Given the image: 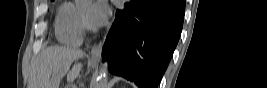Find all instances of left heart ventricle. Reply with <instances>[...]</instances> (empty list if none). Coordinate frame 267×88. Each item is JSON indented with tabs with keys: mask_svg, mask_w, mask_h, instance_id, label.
<instances>
[{
	"mask_svg": "<svg viewBox=\"0 0 267 88\" xmlns=\"http://www.w3.org/2000/svg\"><path fill=\"white\" fill-rule=\"evenodd\" d=\"M90 10L89 6H86L82 9L83 15L87 18L88 12Z\"/></svg>",
	"mask_w": 267,
	"mask_h": 88,
	"instance_id": "left-heart-ventricle-1",
	"label": "left heart ventricle"
}]
</instances>
